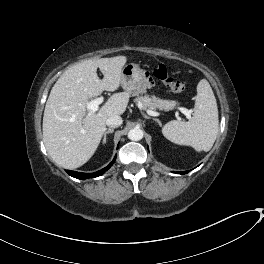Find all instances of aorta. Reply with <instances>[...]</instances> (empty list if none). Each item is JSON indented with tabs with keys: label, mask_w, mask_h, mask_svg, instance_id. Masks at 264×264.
I'll use <instances>...</instances> for the list:
<instances>
[{
	"label": "aorta",
	"mask_w": 264,
	"mask_h": 264,
	"mask_svg": "<svg viewBox=\"0 0 264 264\" xmlns=\"http://www.w3.org/2000/svg\"><path fill=\"white\" fill-rule=\"evenodd\" d=\"M128 138L132 141H139L143 138V131L140 128H133L128 132Z\"/></svg>",
	"instance_id": "762f6f07"
}]
</instances>
